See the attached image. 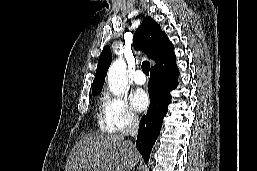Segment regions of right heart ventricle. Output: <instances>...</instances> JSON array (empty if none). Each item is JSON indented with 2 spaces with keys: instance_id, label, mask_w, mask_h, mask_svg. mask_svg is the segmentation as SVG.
<instances>
[{
  "instance_id": "obj_1",
  "label": "right heart ventricle",
  "mask_w": 257,
  "mask_h": 171,
  "mask_svg": "<svg viewBox=\"0 0 257 171\" xmlns=\"http://www.w3.org/2000/svg\"><path fill=\"white\" fill-rule=\"evenodd\" d=\"M99 126H100V129L103 130V131H111V130L107 127V125H106V123H105V121H104L102 115L99 117Z\"/></svg>"
}]
</instances>
